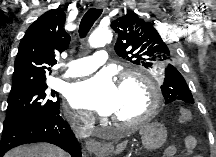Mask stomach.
Wrapping results in <instances>:
<instances>
[{
	"mask_svg": "<svg viewBox=\"0 0 216 157\" xmlns=\"http://www.w3.org/2000/svg\"><path fill=\"white\" fill-rule=\"evenodd\" d=\"M140 135L143 146L149 151H154L159 149L166 141L167 131L164 125L154 122L142 126Z\"/></svg>",
	"mask_w": 216,
	"mask_h": 157,
	"instance_id": "1",
	"label": "stomach"
}]
</instances>
